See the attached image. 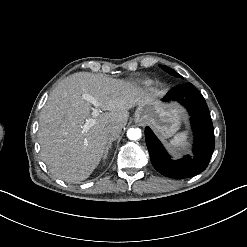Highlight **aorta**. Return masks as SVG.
I'll return each instance as SVG.
<instances>
[{"mask_svg":"<svg viewBox=\"0 0 247 247\" xmlns=\"http://www.w3.org/2000/svg\"><path fill=\"white\" fill-rule=\"evenodd\" d=\"M127 137L130 140H138L141 138V130L139 128H130L127 131Z\"/></svg>","mask_w":247,"mask_h":247,"instance_id":"aorta-1","label":"aorta"}]
</instances>
